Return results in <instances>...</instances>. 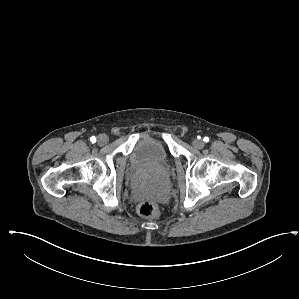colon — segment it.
I'll use <instances>...</instances> for the list:
<instances>
[{
  "label": "colon",
  "instance_id": "colon-1",
  "mask_svg": "<svg viewBox=\"0 0 299 299\" xmlns=\"http://www.w3.org/2000/svg\"><path fill=\"white\" fill-rule=\"evenodd\" d=\"M137 213L144 218H156L159 215L158 206L151 201H142L137 206Z\"/></svg>",
  "mask_w": 299,
  "mask_h": 299
}]
</instances>
